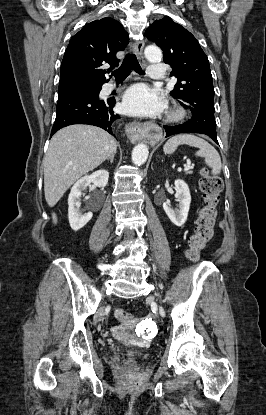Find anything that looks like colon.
I'll return each mask as SVG.
<instances>
[{
  "label": "colon",
  "mask_w": 266,
  "mask_h": 415,
  "mask_svg": "<svg viewBox=\"0 0 266 415\" xmlns=\"http://www.w3.org/2000/svg\"><path fill=\"white\" fill-rule=\"evenodd\" d=\"M199 185L202 192L203 206L197 217L195 231L188 239L186 250V256L192 262H197L200 259L201 252L214 237L217 206L223 189L221 179L211 174L208 169L202 170ZM115 316L119 321L125 323H131L134 319L124 309H117Z\"/></svg>",
  "instance_id": "obj_1"
}]
</instances>
